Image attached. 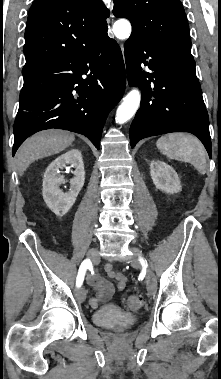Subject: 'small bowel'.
Listing matches in <instances>:
<instances>
[{
	"label": "small bowel",
	"mask_w": 221,
	"mask_h": 379,
	"mask_svg": "<svg viewBox=\"0 0 221 379\" xmlns=\"http://www.w3.org/2000/svg\"><path fill=\"white\" fill-rule=\"evenodd\" d=\"M105 271L109 279H105L97 274L90 275L87 278L88 283L95 289V297L90 299V305L93 308H97L101 302L110 300L115 289L123 290L127 283L126 276L116 272L112 264H106Z\"/></svg>",
	"instance_id": "c3829d8e"
}]
</instances>
